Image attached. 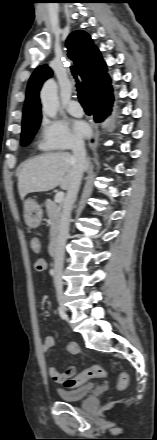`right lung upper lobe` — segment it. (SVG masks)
<instances>
[{"mask_svg": "<svg viewBox=\"0 0 157 440\" xmlns=\"http://www.w3.org/2000/svg\"><path fill=\"white\" fill-rule=\"evenodd\" d=\"M69 57L74 61L92 101H97L112 93L111 80L106 73V65L90 36L82 31H74L66 41ZM52 71L46 65L39 66L32 74L23 109L22 126L40 123L41 111L39 91L43 82L51 77Z\"/></svg>", "mask_w": 157, "mask_h": 440, "instance_id": "cb5924a9", "label": "right lung upper lobe"}]
</instances>
